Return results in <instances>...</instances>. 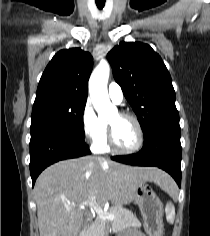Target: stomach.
<instances>
[{
  "label": "stomach",
  "instance_id": "0dacf381",
  "mask_svg": "<svg viewBox=\"0 0 210 236\" xmlns=\"http://www.w3.org/2000/svg\"><path fill=\"white\" fill-rule=\"evenodd\" d=\"M132 201L140 208L148 236H162L163 205L154 191L145 182H140L134 190Z\"/></svg>",
  "mask_w": 210,
  "mask_h": 236
}]
</instances>
